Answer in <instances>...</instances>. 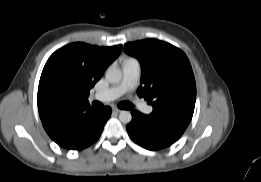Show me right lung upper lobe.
<instances>
[{
  "label": "right lung upper lobe",
  "mask_w": 261,
  "mask_h": 182,
  "mask_svg": "<svg viewBox=\"0 0 261 182\" xmlns=\"http://www.w3.org/2000/svg\"><path fill=\"white\" fill-rule=\"evenodd\" d=\"M121 50L122 45L98 47L77 42L50 56L40 77L37 103L52 140H64L77 118L92 110L89 91Z\"/></svg>",
  "instance_id": "1"
}]
</instances>
